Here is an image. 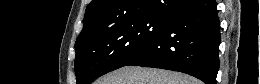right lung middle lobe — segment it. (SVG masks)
<instances>
[{"mask_svg":"<svg viewBox=\"0 0 260 84\" xmlns=\"http://www.w3.org/2000/svg\"><path fill=\"white\" fill-rule=\"evenodd\" d=\"M167 15H140L101 29L94 39L75 45L77 84H90L97 77L126 66L142 54L161 34Z\"/></svg>","mask_w":260,"mask_h":84,"instance_id":"dd1d6c3e","label":"right lung middle lobe"}]
</instances>
